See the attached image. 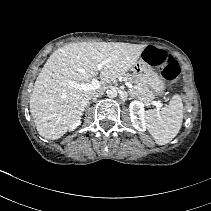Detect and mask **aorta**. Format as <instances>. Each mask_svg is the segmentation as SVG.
<instances>
[{
  "mask_svg": "<svg viewBox=\"0 0 211 211\" xmlns=\"http://www.w3.org/2000/svg\"><path fill=\"white\" fill-rule=\"evenodd\" d=\"M106 93L109 98H115L117 96V90L115 88L108 89Z\"/></svg>",
  "mask_w": 211,
  "mask_h": 211,
  "instance_id": "1",
  "label": "aorta"
}]
</instances>
